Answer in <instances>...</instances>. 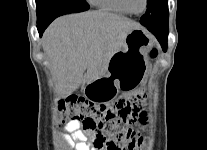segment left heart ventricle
Wrapping results in <instances>:
<instances>
[{
  "mask_svg": "<svg viewBox=\"0 0 207 150\" xmlns=\"http://www.w3.org/2000/svg\"><path fill=\"white\" fill-rule=\"evenodd\" d=\"M130 5L134 11L140 12L144 8V0H130Z\"/></svg>",
  "mask_w": 207,
  "mask_h": 150,
  "instance_id": "left-heart-ventricle-1",
  "label": "left heart ventricle"
}]
</instances>
